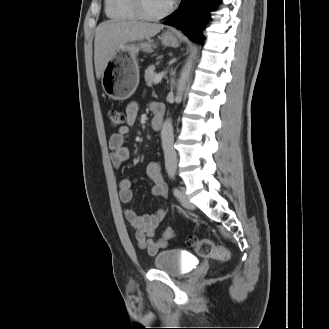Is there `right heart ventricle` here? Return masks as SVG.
<instances>
[{
	"label": "right heart ventricle",
	"instance_id": "e07e8e85",
	"mask_svg": "<svg viewBox=\"0 0 329 329\" xmlns=\"http://www.w3.org/2000/svg\"><path fill=\"white\" fill-rule=\"evenodd\" d=\"M105 11L108 17L114 20H136L138 15L130 0H105Z\"/></svg>",
	"mask_w": 329,
	"mask_h": 329
}]
</instances>
